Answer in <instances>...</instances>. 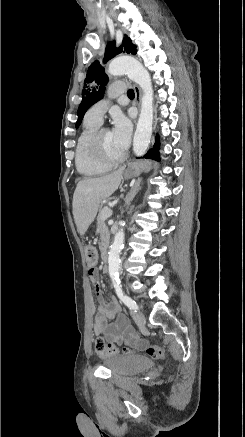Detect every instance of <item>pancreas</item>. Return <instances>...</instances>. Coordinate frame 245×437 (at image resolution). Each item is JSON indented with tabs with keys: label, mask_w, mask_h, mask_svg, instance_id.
<instances>
[{
	"label": "pancreas",
	"mask_w": 245,
	"mask_h": 437,
	"mask_svg": "<svg viewBox=\"0 0 245 437\" xmlns=\"http://www.w3.org/2000/svg\"><path fill=\"white\" fill-rule=\"evenodd\" d=\"M107 208L108 207L101 208L97 217V231L100 234V248L107 246L110 240V232L108 230V227L105 225V220L107 218L104 217V210ZM109 212L112 213L111 210H109Z\"/></svg>",
	"instance_id": "pancreas-1"
}]
</instances>
